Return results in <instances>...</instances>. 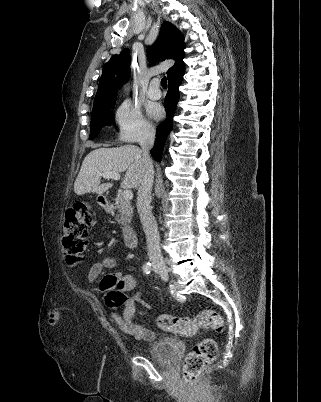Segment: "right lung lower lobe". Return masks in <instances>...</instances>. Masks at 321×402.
I'll return each instance as SVG.
<instances>
[{
	"label": "right lung lower lobe",
	"mask_w": 321,
	"mask_h": 402,
	"mask_svg": "<svg viewBox=\"0 0 321 402\" xmlns=\"http://www.w3.org/2000/svg\"><path fill=\"white\" fill-rule=\"evenodd\" d=\"M184 75V71L177 73L168 79L169 91L164 100V106L166 109L167 118L165 121L158 127L156 131V142L152 150L150 151L152 157L156 161H161L162 152L165 144V140L172 130V117L175 112L178 100H179V90L178 87L182 82V78Z\"/></svg>",
	"instance_id": "right-lung-lower-lobe-1"
}]
</instances>
